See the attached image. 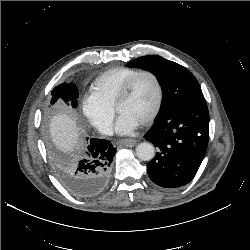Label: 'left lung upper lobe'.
I'll use <instances>...</instances> for the list:
<instances>
[{
  "mask_svg": "<svg viewBox=\"0 0 250 250\" xmlns=\"http://www.w3.org/2000/svg\"><path fill=\"white\" fill-rule=\"evenodd\" d=\"M153 73L162 88L163 99L156 118L189 102L203 100L201 87L185 67L160 56H143L127 64Z\"/></svg>",
  "mask_w": 250,
  "mask_h": 250,
  "instance_id": "obj_1",
  "label": "left lung upper lobe"
}]
</instances>
